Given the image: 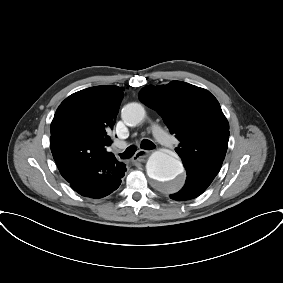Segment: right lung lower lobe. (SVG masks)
Instances as JSON below:
<instances>
[{"instance_id": "1", "label": "right lung lower lobe", "mask_w": 283, "mask_h": 283, "mask_svg": "<svg viewBox=\"0 0 283 283\" xmlns=\"http://www.w3.org/2000/svg\"><path fill=\"white\" fill-rule=\"evenodd\" d=\"M125 171L124 163L117 160H103L91 169L77 173L68 182L82 196L102 198L120 186Z\"/></svg>"}]
</instances>
